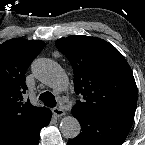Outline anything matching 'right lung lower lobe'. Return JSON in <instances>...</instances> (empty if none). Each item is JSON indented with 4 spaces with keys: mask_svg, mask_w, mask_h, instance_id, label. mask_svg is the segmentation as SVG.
Here are the masks:
<instances>
[{
    "mask_svg": "<svg viewBox=\"0 0 145 145\" xmlns=\"http://www.w3.org/2000/svg\"><path fill=\"white\" fill-rule=\"evenodd\" d=\"M51 116L52 113L47 110L40 117L0 139V145H38L40 130L49 124Z\"/></svg>",
    "mask_w": 145,
    "mask_h": 145,
    "instance_id": "98d812e1",
    "label": "right lung lower lobe"
}]
</instances>
